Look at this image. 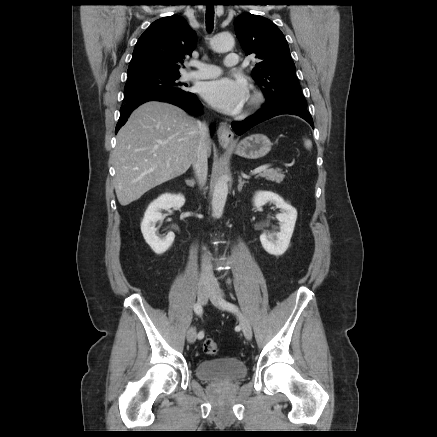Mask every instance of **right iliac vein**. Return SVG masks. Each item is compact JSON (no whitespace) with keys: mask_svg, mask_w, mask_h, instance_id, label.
<instances>
[{"mask_svg":"<svg viewBox=\"0 0 437 437\" xmlns=\"http://www.w3.org/2000/svg\"><path fill=\"white\" fill-rule=\"evenodd\" d=\"M211 288L207 285H200L198 287V301L200 304H206L208 297L210 296ZM197 337V332L194 328H190L187 332V341L189 343H194Z\"/></svg>","mask_w":437,"mask_h":437,"instance_id":"obj_1","label":"right iliac vein"}]
</instances>
